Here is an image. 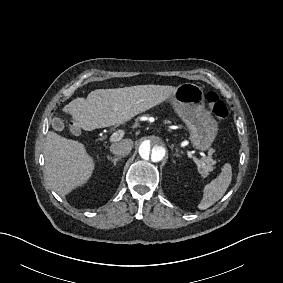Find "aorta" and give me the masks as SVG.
I'll list each match as a JSON object with an SVG mask.
<instances>
[{"label": "aorta", "mask_w": 283, "mask_h": 283, "mask_svg": "<svg viewBox=\"0 0 283 283\" xmlns=\"http://www.w3.org/2000/svg\"><path fill=\"white\" fill-rule=\"evenodd\" d=\"M138 152L143 165L155 166L166 160L168 153L167 143L159 135H146L139 141Z\"/></svg>", "instance_id": "1"}]
</instances>
